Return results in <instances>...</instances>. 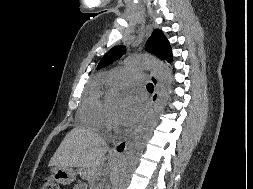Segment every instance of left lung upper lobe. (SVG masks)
Masks as SVG:
<instances>
[{
	"label": "left lung upper lobe",
	"mask_w": 253,
	"mask_h": 189,
	"mask_svg": "<svg viewBox=\"0 0 253 189\" xmlns=\"http://www.w3.org/2000/svg\"><path fill=\"white\" fill-rule=\"evenodd\" d=\"M145 49L163 60H167L168 62L172 61L170 44L164 34L158 29L154 30L151 37L148 39ZM124 52L125 48L123 46L112 48L103 56L98 64V68L104 67L117 60L124 54Z\"/></svg>",
	"instance_id": "obj_1"
}]
</instances>
